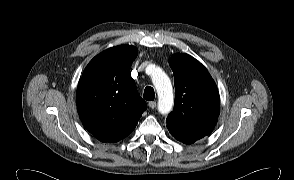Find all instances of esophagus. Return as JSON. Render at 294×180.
Here are the masks:
<instances>
[{
  "instance_id": "esophagus-1",
  "label": "esophagus",
  "mask_w": 294,
  "mask_h": 180,
  "mask_svg": "<svg viewBox=\"0 0 294 180\" xmlns=\"http://www.w3.org/2000/svg\"><path fill=\"white\" fill-rule=\"evenodd\" d=\"M156 105H157V103H156L155 101H150V102L148 103V106H149L151 109L156 108Z\"/></svg>"
}]
</instances>
